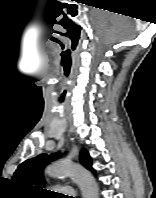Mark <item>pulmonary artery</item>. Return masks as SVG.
<instances>
[{
    "instance_id": "pulmonary-artery-1",
    "label": "pulmonary artery",
    "mask_w": 156,
    "mask_h": 198,
    "mask_svg": "<svg viewBox=\"0 0 156 198\" xmlns=\"http://www.w3.org/2000/svg\"><path fill=\"white\" fill-rule=\"evenodd\" d=\"M58 190L64 191V192H71V188L68 186H58L57 187Z\"/></svg>"
}]
</instances>
